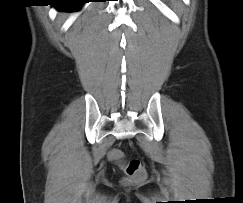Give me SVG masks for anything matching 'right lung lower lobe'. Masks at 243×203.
<instances>
[{
	"label": "right lung lower lobe",
	"mask_w": 243,
	"mask_h": 203,
	"mask_svg": "<svg viewBox=\"0 0 243 203\" xmlns=\"http://www.w3.org/2000/svg\"><path fill=\"white\" fill-rule=\"evenodd\" d=\"M88 1L89 0H62L55 6H57L59 11H76L81 7L82 3H88Z\"/></svg>",
	"instance_id": "1"
}]
</instances>
